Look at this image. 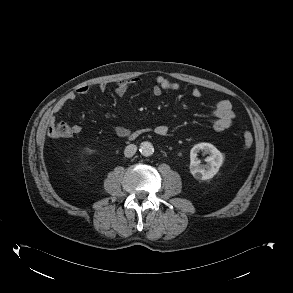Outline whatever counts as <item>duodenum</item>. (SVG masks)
Masks as SVG:
<instances>
[{"mask_svg":"<svg viewBox=\"0 0 293 293\" xmlns=\"http://www.w3.org/2000/svg\"><path fill=\"white\" fill-rule=\"evenodd\" d=\"M147 130H140V131H137V132H135V133H133L132 135H131V138H136L137 136H139L140 134H142V133H144V132H146Z\"/></svg>","mask_w":293,"mask_h":293,"instance_id":"1","label":"duodenum"}]
</instances>
